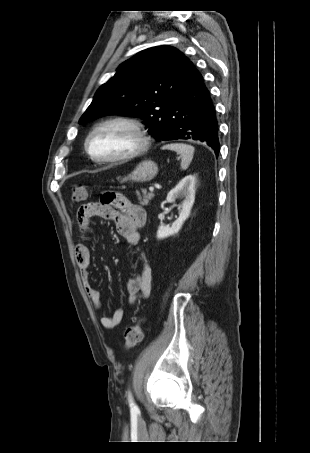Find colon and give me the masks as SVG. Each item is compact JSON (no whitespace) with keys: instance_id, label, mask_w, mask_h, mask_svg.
Wrapping results in <instances>:
<instances>
[{"instance_id":"colon-1","label":"colon","mask_w":310,"mask_h":453,"mask_svg":"<svg viewBox=\"0 0 310 453\" xmlns=\"http://www.w3.org/2000/svg\"><path fill=\"white\" fill-rule=\"evenodd\" d=\"M88 198V188L85 185H74L72 187V201L74 204H80L84 202ZM111 198V193L106 192L101 195L102 202H108ZM142 319L136 317L134 319V324L128 327L123 335L124 345L123 348L125 350H129L135 347L143 337L142 327H141Z\"/></svg>"}]
</instances>
